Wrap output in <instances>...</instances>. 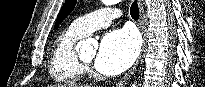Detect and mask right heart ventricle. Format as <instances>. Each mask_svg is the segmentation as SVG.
Masks as SVG:
<instances>
[{
	"label": "right heart ventricle",
	"instance_id": "obj_1",
	"mask_svg": "<svg viewBox=\"0 0 205 87\" xmlns=\"http://www.w3.org/2000/svg\"><path fill=\"white\" fill-rule=\"evenodd\" d=\"M84 36L71 25L55 40L49 60V74L55 82L73 84L82 79L84 70L77 60L75 44Z\"/></svg>",
	"mask_w": 205,
	"mask_h": 87
}]
</instances>
